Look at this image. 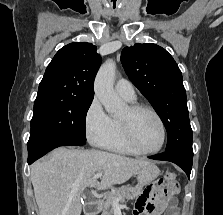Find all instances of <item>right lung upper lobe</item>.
I'll return each instance as SVG.
<instances>
[{
    "instance_id": "1",
    "label": "right lung upper lobe",
    "mask_w": 223,
    "mask_h": 215,
    "mask_svg": "<svg viewBox=\"0 0 223 215\" xmlns=\"http://www.w3.org/2000/svg\"><path fill=\"white\" fill-rule=\"evenodd\" d=\"M96 50L86 42L62 47L47 66L37 96L93 100L94 79L101 64Z\"/></svg>"
}]
</instances>
